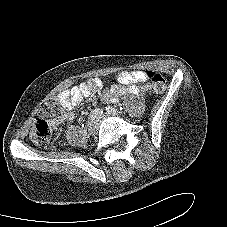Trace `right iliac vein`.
<instances>
[{
    "label": "right iliac vein",
    "instance_id": "obj_1",
    "mask_svg": "<svg viewBox=\"0 0 227 227\" xmlns=\"http://www.w3.org/2000/svg\"><path fill=\"white\" fill-rule=\"evenodd\" d=\"M87 129L90 135H95L98 131V123L97 121H89L87 124Z\"/></svg>",
    "mask_w": 227,
    "mask_h": 227
}]
</instances>
